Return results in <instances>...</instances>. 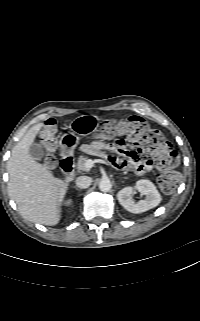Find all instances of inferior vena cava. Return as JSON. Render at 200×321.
I'll return each mask as SVG.
<instances>
[{
  "label": "inferior vena cava",
  "instance_id": "602c4592",
  "mask_svg": "<svg viewBox=\"0 0 200 321\" xmlns=\"http://www.w3.org/2000/svg\"><path fill=\"white\" fill-rule=\"evenodd\" d=\"M92 179L88 176H79L76 179V186L85 189L91 185Z\"/></svg>",
  "mask_w": 200,
  "mask_h": 321
}]
</instances>
